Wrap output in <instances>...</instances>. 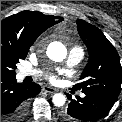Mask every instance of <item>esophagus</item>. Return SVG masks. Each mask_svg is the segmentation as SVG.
Listing matches in <instances>:
<instances>
[{
  "mask_svg": "<svg viewBox=\"0 0 122 122\" xmlns=\"http://www.w3.org/2000/svg\"><path fill=\"white\" fill-rule=\"evenodd\" d=\"M43 90L47 93L54 94L57 92V89L50 87V86H44Z\"/></svg>",
  "mask_w": 122,
  "mask_h": 122,
  "instance_id": "1",
  "label": "esophagus"
}]
</instances>
